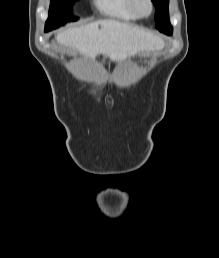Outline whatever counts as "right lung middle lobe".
Returning a JSON list of instances; mask_svg holds the SVG:
<instances>
[{"instance_id": "dd1d6c3e", "label": "right lung middle lobe", "mask_w": 219, "mask_h": 258, "mask_svg": "<svg viewBox=\"0 0 219 258\" xmlns=\"http://www.w3.org/2000/svg\"><path fill=\"white\" fill-rule=\"evenodd\" d=\"M77 0H51L49 16L45 23V32L56 29L68 21H76L72 18V6Z\"/></svg>"}]
</instances>
